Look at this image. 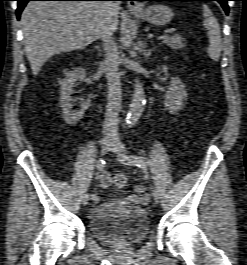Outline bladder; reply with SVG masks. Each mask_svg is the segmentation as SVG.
<instances>
[{"mask_svg": "<svg viewBox=\"0 0 247 265\" xmlns=\"http://www.w3.org/2000/svg\"><path fill=\"white\" fill-rule=\"evenodd\" d=\"M89 228L98 242L120 247L134 246L150 232L145 209L118 200L98 204L89 215Z\"/></svg>", "mask_w": 247, "mask_h": 265, "instance_id": "1", "label": "bladder"}]
</instances>
